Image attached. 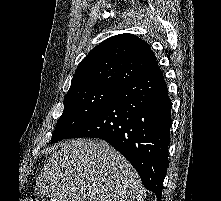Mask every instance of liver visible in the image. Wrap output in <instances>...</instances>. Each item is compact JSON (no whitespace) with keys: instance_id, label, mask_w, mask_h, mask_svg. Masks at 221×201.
Segmentation results:
<instances>
[{"instance_id":"obj_1","label":"liver","mask_w":221,"mask_h":201,"mask_svg":"<svg viewBox=\"0 0 221 201\" xmlns=\"http://www.w3.org/2000/svg\"><path fill=\"white\" fill-rule=\"evenodd\" d=\"M50 201H144L140 177L118 151L98 139L53 147L37 184Z\"/></svg>"}]
</instances>
